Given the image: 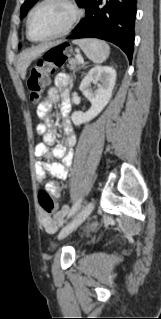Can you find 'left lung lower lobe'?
Listing matches in <instances>:
<instances>
[{"mask_svg":"<svg viewBox=\"0 0 161 319\" xmlns=\"http://www.w3.org/2000/svg\"><path fill=\"white\" fill-rule=\"evenodd\" d=\"M137 0H89L86 17L67 39L99 38L119 46L132 60Z\"/></svg>","mask_w":161,"mask_h":319,"instance_id":"obj_1","label":"left lung lower lobe"}]
</instances>
